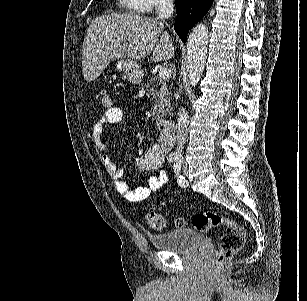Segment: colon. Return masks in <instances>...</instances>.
I'll return each instance as SVG.
<instances>
[{"mask_svg": "<svg viewBox=\"0 0 307 301\" xmlns=\"http://www.w3.org/2000/svg\"><path fill=\"white\" fill-rule=\"evenodd\" d=\"M100 112H106L112 107V100L106 91H101L95 105ZM146 224L154 230H163L166 228V219L162 214L155 210H149L145 213ZM178 226H184V219L177 220ZM192 226L199 232H208L220 226L224 230L218 237L219 251L216 255L215 263L222 264L239 252L246 239L244 228L234 220L220 215L214 211H205L194 215L191 219Z\"/></svg>", "mask_w": 307, "mask_h": 301, "instance_id": "colon-1", "label": "colon"}]
</instances>
